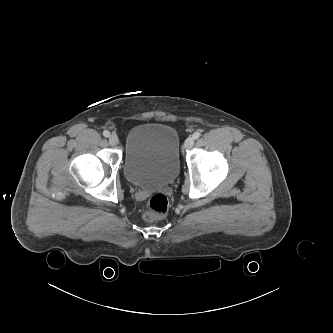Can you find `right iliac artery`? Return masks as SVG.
<instances>
[{
	"label": "right iliac artery",
	"mask_w": 333,
	"mask_h": 333,
	"mask_svg": "<svg viewBox=\"0 0 333 333\" xmlns=\"http://www.w3.org/2000/svg\"><path fill=\"white\" fill-rule=\"evenodd\" d=\"M103 135L105 137H109L110 136V132L108 130H105V131H103Z\"/></svg>",
	"instance_id": "right-iliac-artery-1"
}]
</instances>
